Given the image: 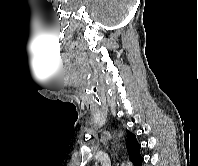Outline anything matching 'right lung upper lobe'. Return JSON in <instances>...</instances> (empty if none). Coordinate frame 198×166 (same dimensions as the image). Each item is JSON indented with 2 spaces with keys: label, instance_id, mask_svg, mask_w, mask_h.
Here are the masks:
<instances>
[{
  "label": "right lung upper lobe",
  "instance_id": "obj_1",
  "mask_svg": "<svg viewBox=\"0 0 198 166\" xmlns=\"http://www.w3.org/2000/svg\"><path fill=\"white\" fill-rule=\"evenodd\" d=\"M127 152L130 157V160L133 162L134 166H140L143 162V159L140 155L141 145L136 139V135L127 131Z\"/></svg>",
  "mask_w": 198,
  "mask_h": 166
}]
</instances>
